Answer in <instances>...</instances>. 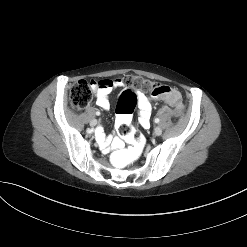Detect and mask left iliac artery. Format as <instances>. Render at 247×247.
Returning <instances> with one entry per match:
<instances>
[{
	"mask_svg": "<svg viewBox=\"0 0 247 247\" xmlns=\"http://www.w3.org/2000/svg\"><path fill=\"white\" fill-rule=\"evenodd\" d=\"M159 121L160 120L158 118H155V120H154L155 123H159Z\"/></svg>",
	"mask_w": 247,
	"mask_h": 247,
	"instance_id": "44dca946",
	"label": "left iliac artery"
}]
</instances>
